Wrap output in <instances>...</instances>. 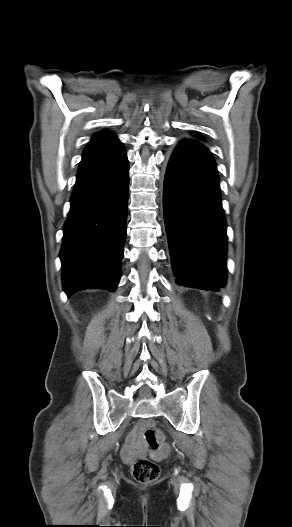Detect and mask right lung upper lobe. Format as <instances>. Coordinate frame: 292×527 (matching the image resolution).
I'll return each instance as SVG.
<instances>
[{
	"instance_id": "cb5924a9",
	"label": "right lung upper lobe",
	"mask_w": 292,
	"mask_h": 527,
	"mask_svg": "<svg viewBox=\"0 0 292 527\" xmlns=\"http://www.w3.org/2000/svg\"><path fill=\"white\" fill-rule=\"evenodd\" d=\"M115 140H118L115 134L108 132V131H103V132L95 134L91 138L90 143L110 142V141H115Z\"/></svg>"
}]
</instances>
